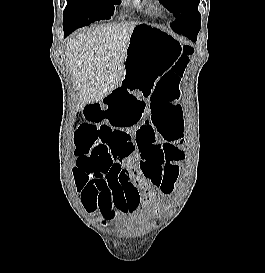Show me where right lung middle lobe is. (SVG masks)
<instances>
[{"label": "right lung middle lobe", "instance_id": "dd1d6c3e", "mask_svg": "<svg viewBox=\"0 0 265 273\" xmlns=\"http://www.w3.org/2000/svg\"><path fill=\"white\" fill-rule=\"evenodd\" d=\"M120 0H67L64 11V34L87 26L95 21L108 20L114 12L113 4Z\"/></svg>", "mask_w": 265, "mask_h": 273}]
</instances>
